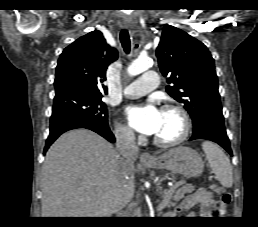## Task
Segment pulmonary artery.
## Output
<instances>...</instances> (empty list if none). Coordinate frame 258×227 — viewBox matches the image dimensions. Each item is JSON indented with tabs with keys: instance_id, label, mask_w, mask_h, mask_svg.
<instances>
[{
	"instance_id": "1",
	"label": "pulmonary artery",
	"mask_w": 258,
	"mask_h": 227,
	"mask_svg": "<svg viewBox=\"0 0 258 227\" xmlns=\"http://www.w3.org/2000/svg\"><path fill=\"white\" fill-rule=\"evenodd\" d=\"M158 76L154 71H148L139 79L130 83L124 89V94L129 98H138L146 95L158 85Z\"/></svg>"
}]
</instances>
